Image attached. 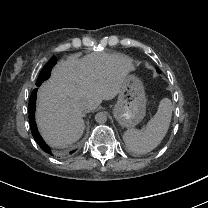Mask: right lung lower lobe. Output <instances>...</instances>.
<instances>
[{
	"mask_svg": "<svg viewBox=\"0 0 208 208\" xmlns=\"http://www.w3.org/2000/svg\"><path fill=\"white\" fill-rule=\"evenodd\" d=\"M55 64H56V59H55V57H52L47 62V64L44 66V68H43L44 77H45L44 80L49 78L50 73H51V69ZM42 82H40V84H38V86H40ZM36 93H37V88L32 91L31 96H30V100H29V121H30V126H31V132H32L34 139L36 140L38 145L41 147V149L44 152L53 155L51 149L45 143V141L40 136V134L37 130V126H36V122H35Z\"/></svg>",
	"mask_w": 208,
	"mask_h": 208,
	"instance_id": "obj_1",
	"label": "right lung lower lobe"
}]
</instances>
